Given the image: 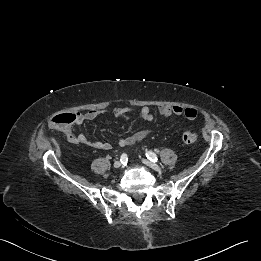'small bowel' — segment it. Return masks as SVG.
Listing matches in <instances>:
<instances>
[{
    "label": "small bowel",
    "mask_w": 261,
    "mask_h": 261,
    "mask_svg": "<svg viewBox=\"0 0 261 261\" xmlns=\"http://www.w3.org/2000/svg\"><path fill=\"white\" fill-rule=\"evenodd\" d=\"M132 111L133 108L131 107H118L112 111V115L115 118L129 120L131 118ZM158 112L163 117L184 116L189 120H194L198 114L195 108L182 107V106H160ZM138 113L140 118L143 119L144 121L150 122L153 120V115L148 106L141 107ZM100 115L101 112L95 110H91L86 113L77 112L75 113L76 120L73 125L81 126L85 122L95 120ZM150 132H151L150 129L139 130L128 137L118 139L117 144L120 147L131 146L145 139L150 134ZM63 134L66 140L70 143L86 145L98 150H109L111 148V145L108 142L101 141V140H90L83 133L75 134L72 129V125L64 128Z\"/></svg>",
    "instance_id": "obj_1"
}]
</instances>
